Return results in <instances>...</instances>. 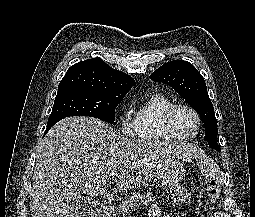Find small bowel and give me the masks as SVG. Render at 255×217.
Listing matches in <instances>:
<instances>
[{
  "instance_id": "obj_1",
  "label": "small bowel",
  "mask_w": 255,
  "mask_h": 217,
  "mask_svg": "<svg viewBox=\"0 0 255 217\" xmlns=\"http://www.w3.org/2000/svg\"><path fill=\"white\" fill-rule=\"evenodd\" d=\"M161 211L160 208L156 204H152L148 208V216L147 217H160ZM163 217H174L171 214H167ZM210 217H222L218 212L212 213Z\"/></svg>"
}]
</instances>
